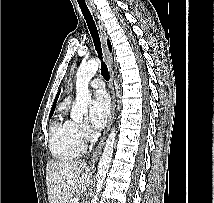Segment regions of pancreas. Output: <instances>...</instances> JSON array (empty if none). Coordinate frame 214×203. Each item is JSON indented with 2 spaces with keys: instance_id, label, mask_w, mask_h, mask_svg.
<instances>
[{
  "instance_id": "obj_1",
  "label": "pancreas",
  "mask_w": 214,
  "mask_h": 203,
  "mask_svg": "<svg viewBox=\"0 0 214 203\" xmlns=\"http://www.w3.org/2000/svg\"><path fill=\"white\" fill-rule=\"evenodd\" d=\"M67 203H72V200H70V201H67Z\"/></svg>"
}]
</instances>
